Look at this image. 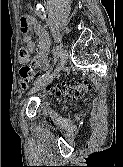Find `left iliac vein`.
<instances>
[{
	"label": "left iliac vein",
	"mask_w": 123,
	"mask_h": 167,
	"mask_svg": "<svg viewBox=\"0 0 123 167\" xmlns=\"http://www.w3.org/2000/svg\"><path fill=\"white\" fill-rule=\"evenodd\" d=\"M67 60H68V51L66 48H64L62 50L58 65L56 66L54 71L50 73L49 75L43 77L41 80H39L33 86V88L28 92V95H32L38 92L39 90L43 89L44 87H46V85L50 83L52 79L64 68L65 64L67 63Z\"/></svg>",
	"instance_id": "4c4485c4"
}]
</instances>
